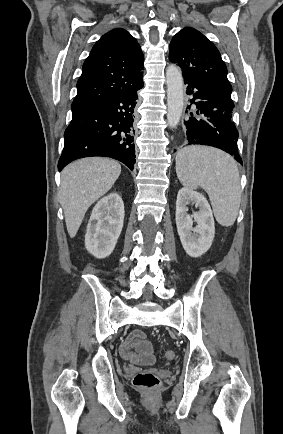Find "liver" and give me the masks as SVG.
<instances>
[{"instance_id": "liver-1", "label": "liver", "mask_w": 283, "mask_h": 434, "mask_svg": "<svg viewBox=\"0 0 283 434\" xmlns=\"http://www.w3.org/2000/svg\"><path fill=\"white\" fill-rule=\"evenodd\" d=\"M120 173L118 162L102 157L79 159L63 169L59 202L71 238L76 236L88 208L112 188Z\"/></svg>"}]
</instances>
